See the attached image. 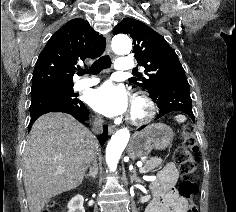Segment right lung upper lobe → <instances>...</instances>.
<instances>
[{
	"label": "right lung upper lobe",
	"mask_w": 236,
	"mask_h": 212,
	"mask_svg": "<svg viewBox=\"0 0 236 212\" xmlns=\"http://www.w3.org/2000/svg\"><path fill=\"white\" fill-rule=\"evenodd\" d=\"M106 41L83 19L63 25L38 56L31 92L49 87L73 85L78 61L95 59L105 50Z\"/></svg>",
	"instance_id": "1"
}]
</instances>
